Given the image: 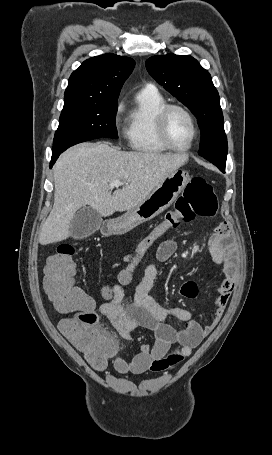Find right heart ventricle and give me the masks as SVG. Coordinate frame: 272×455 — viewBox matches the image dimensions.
Listing matches in <instances>:
<instances>
[{"mask_svg":"<svg viewBox=\"0 0 272 455\" xmlns=\"http://www.w3.org/2000/svg\"><path fill=\"white\" fill-rule=\"evenodd\" d=\"M166 104L165 98L155 88L141 89L127 116L125 135L131 149L148 154L168 150L160 141L155 118L159 109Z\"/></svg>","mask_w":272,"mask_h":455,"instance_id":"right-heart-ventricle-1","label":"right heart ventricle"}]
</instances>
